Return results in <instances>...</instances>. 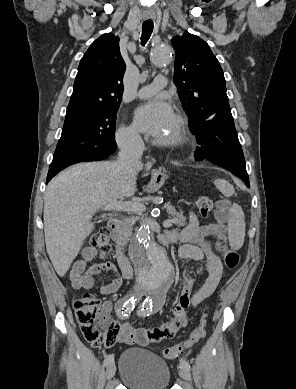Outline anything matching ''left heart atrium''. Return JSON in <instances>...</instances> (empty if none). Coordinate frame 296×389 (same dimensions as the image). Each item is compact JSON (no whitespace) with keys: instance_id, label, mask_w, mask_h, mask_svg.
<instances>
[{"instance_id":"1","label":"left heart atrium","mask_w":296,"mask_h":389,"mask_svg":"<svg viewBox=\"0 0 296 389\" xmlns=\"http://www.w3.org/2000/svg\"><path fill=\"white\" fill-rule=\"evenodd\" d=\"M174 122L171 105L163 99H155L142 104L134 111V124L144 133L159 137Z\"/></svg>"}]
</instances>
